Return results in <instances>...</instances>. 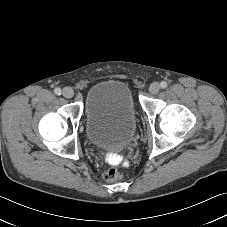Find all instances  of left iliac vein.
Listing matches in <instances>:
<instances>
[{
  "mask_svg": "<svg viewBox=\"0 0 227 227\" xmlns=\"http://www.w3.org/2000/svg\"><path fill=\"white\" fill-rule=\"evenodd\" d=\"M159 91H160V85H159V83L154 82V83H152V84L149 86V92H150L151 94H157Z\"/></svg>",
  "mask_w": 227,
  "mask_h": 227,
  "instance_id": "1",
  "label": "left iliac vein"
}]
</instances>
